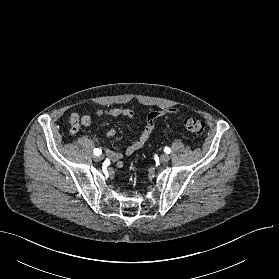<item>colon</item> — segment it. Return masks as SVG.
I'll list each match as a JSON object with an SVG mask.
<instances>
[{
    "instance_id": "obj_1",
    "label": "colon",
    "mask_w": 279,
    "mask_h": 279,
    "mask_svg": "<svg viewBox=\"0 0 279 279\" xmlns=\"http://www.w3.org/2000/svg\"><path fill=\"white\" fill-rule=\"evenodd\" d=\"M72 131H77L79 127V119L77 115H72L70 118ZM185 128L192 134L201 135L205 130V123L194 117H187L184 120Z\"/></svg>"
}]
</instances>
